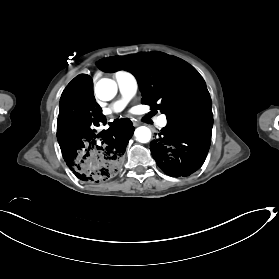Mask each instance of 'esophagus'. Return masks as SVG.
<instances>
[{
	"mask_svg": "<svg viewBox=\"0 0 279 279\" xmlns=\"http://www.w3.org/2000/svg\"><path fill=\"white\" fill-rule=\"evenodd\" d=\"M132 122H133V125H134L135 127L139 125V123H138L136 120H133Z\"/></svg>",
	"mask_w": 279,
	"mask_h": 279,
	"instance_id": "1",
	"label": "esophagus"
}]
</instances>
